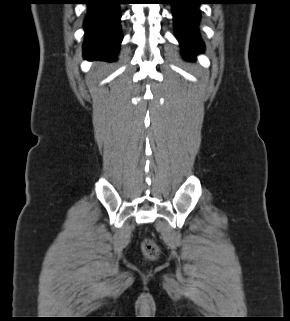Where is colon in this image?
Wrapping results in <instances>:
<instances>
[{
  "label": "colon",
  "instance_id": "obj_1",
  "mask_svg": "<svg viewBox=\"0 0 290 321\" xmlns=\"http://www.w3.org/2000/svg\"><path fill=\"white\" fill-rule=\"evenodd\" d=\"M142 249L149 258H155L158 255V248L151 240H145L142 243Z\"/></svg>",
  "mask_w": 290,
  "mask_h": 321
}]
</instances>
